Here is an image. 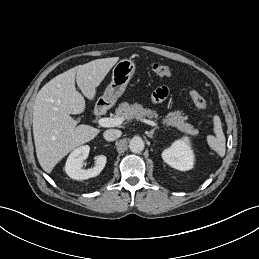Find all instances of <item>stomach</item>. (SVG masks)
<instances>
[{
	"instance_id": "1",
	"label": "stomach",
	"mask_w": 259,
	"mask_h": 259,
	"mask_svg": "<svg viewBox=\"0 0 259 259\" xmlns=\"http://www.w3.org/2000/svg\"><path fill=\"white\" fill-rule=\"evenodd\" d=\"M135 72V63L131 59L120 60L113 68L112 81L104 94L98 98L99 106H112L124 93L130 79Z\"/></svg>"
}]
</instances>
